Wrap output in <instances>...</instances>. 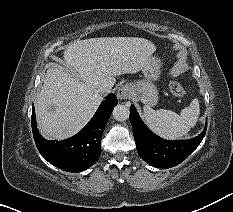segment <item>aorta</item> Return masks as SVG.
<instances>
[{"label": "aorta", "instance_id": "aorta-1", "mask_svg": "<svg viewBox=\"0 0 233 212\" xmlns=\"http://www.w3.org/2000/svg\"><path fill=\"white\" fill-rule=\"evenodd\" d=\"M129 108L126 105H117L113 110V117L117 121H125L129 118Z\"/></svg>", "mask_w": 233, "mask_h": 212}]
</instances>
